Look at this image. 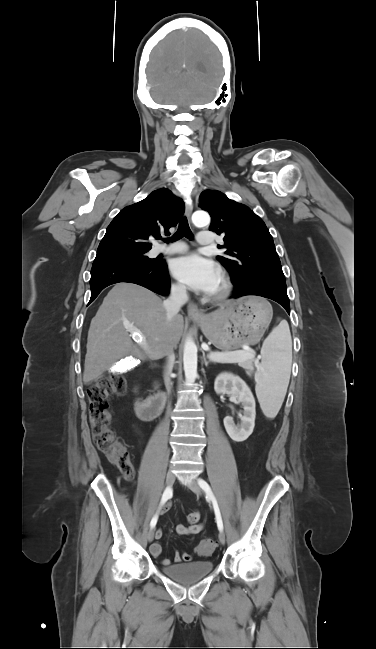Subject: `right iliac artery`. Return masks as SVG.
<instances>
[{
    "label": "right iliac artery",
    "mask_w": 376,
    "mask_h": 649,
    "mask_svg": "<svg viewBox=\"0 0 376 649\" xmlns=\"http://www.w3.org/2000/svg\"><path fill=\"white\" fill-rule=\"evenodd\" d=\"M172 497V488L167 487L162 495L161 501H160V507L165 504V502ZM158 519V512L154 515L150 522V527L153 528L155 527Z\"/></svg>",
    "instance_id": "right-iliac-artery-1"
}]
</instances>
